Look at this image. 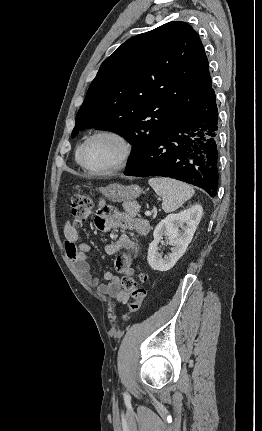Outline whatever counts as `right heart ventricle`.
Wrapping results in <instances>:
<instances>
[{
	"instance_id": "e07e8e85",
	"label": "right heart ventricle",
	"mask_w": 262,
	"mask_h": 431,
	"mask_svg": "<svg viewBox=\"0 0 262 431\" xmlns=\"http://www.w3.org/2000/svg\"><path fill=\"white\" fill-rule=\"evenodd\" d=\"M81 146H82V145L78 146V148L76 149V152H75V162H76L78 165H80V164H79V152H80Z\"/></svg>"
}]
</instances>
